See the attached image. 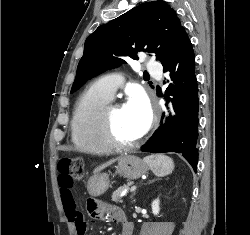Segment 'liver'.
<instances>
[{
    "instance_id": "liver-1",
    "label": "liver",
    "mask_w": 250,
    "mask_h": 235,
    "mask_svg": "<svg viewBox=\"0 0 250 235\" xmlns=\"http://www.w3.org/2000/svg\"><path fill=\"white\" fill-rule=\"evenodd\" d=\"M116 160L117 159H112V160L100 165L99 167L95 168L94 174H96V173L100 172L101 170L107 168L108 166L112 165Z\"/></svg>"
}]
</instances>
